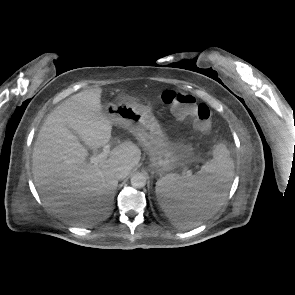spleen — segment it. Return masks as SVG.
<instances>
[{
  "label": "spleen",
  "mask_w": 295,
  "mask_h": 295,
  "mask_svg": "<svg viewBox=\"0 0 295 295\" xmlns=\"http://www.w3.org/2000/svg\"><path fill=\"white\" fill-rule=\"evenodd\" d=\"M234 175V163L224 144L213 150V158L193 176L168 174L156 182L162 209L175 225L191 228L208 217L227 195Z\"/></svg>",
  "instance_id": "spleen-1"
}]
</instances>
